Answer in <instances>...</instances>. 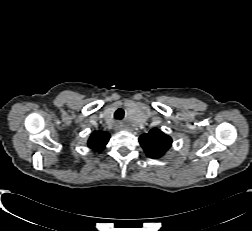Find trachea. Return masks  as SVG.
I'll use <instances>...</instances> for the list:
<instances>
[{
  "mask_svg": "<svg viewBox=\"0 0 252 231\" xmlns=\"http://www.w3.org/2000/svg\"><path fill=\"white\" fill-rule=\"evenodd\" d=\"M124 117V110L122 108H118L114 113V118L117 120H121Z\"/></svg>",
  "mask_w": 252,
  "mask_h": 231,
  "instance_id": "obj_1",
  "label": "trachea"
}]
</instances>
